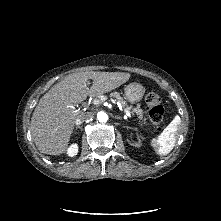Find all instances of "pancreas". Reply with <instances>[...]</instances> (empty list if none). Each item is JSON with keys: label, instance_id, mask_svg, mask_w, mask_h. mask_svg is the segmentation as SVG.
<instances>
[{"label": "pancreas", "instance_id": "pancreas-1", "mask_svg": "<svg viewBox=\"0 0 221 221\" xmlns=\"http://www.w3.org/2000/svg\"><path fill=\"white\" fill-rule=\"evenodd\" d=\"M110 97L115 98L116 100H118V102L122 105V107L125 110H132V113H136L138 115L139 120L142 122V124L147 125V118L144 116V111L142 109H140L139 107L136 108H132L131 106H129L126 101L120 96L119 93L117 92H112L110 94Z\"/></svg>", "mask_w": 221, "mask_h": 221}]
</instances>
